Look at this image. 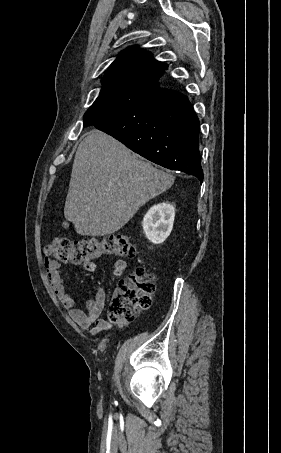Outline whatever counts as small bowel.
Listing matches in <instances>:
<instances>
[{"label":"small bowel","mask_w":281,"mask_h":453,"mask_svg":"<svg viewBox=\"0 0 281 453\" xmlns=\"http://www.w3.org/2000/svg\"><path fill=\"white\" fill-rule=\"evenodd\" d=\"M87 269L94 272L96 265L94 263H88ZM126 269L127 262L124 259H117L115 261L116 277H121ZM45 270L57 296L82 329H89L92 325H95L89 334L96 336L101 331L108 330L111 327V323L101 317L106 299V291L102 286L93 284L88 287L90 296L86 300L85 311H83L75 305L74 299L65 289L58 260L54 258L46 259Z\"/></svg>","instance_id":"small-bowel-1"}]
</instances>
